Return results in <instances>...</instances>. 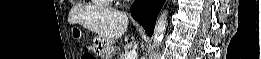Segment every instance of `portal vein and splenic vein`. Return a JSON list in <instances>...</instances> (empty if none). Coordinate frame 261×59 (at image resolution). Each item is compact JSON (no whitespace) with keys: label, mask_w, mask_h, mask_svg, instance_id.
<instances>
[{"label":"portal vein and splenic vein","mask_w":261,"mask_h":59,"mask_svg":"<svg viewBox=\"0 0 261 59\" xmlns=\"http://www.w3.org/2000/svg\"><path fill=\"white\" fill-rule=\"evenodd\" d=\"M137 53L135 50H131L126 56L125 59H136Z\"/></svg>","instance_id":"portal-vein-and-splenic-vein-1"}]
</instances>
